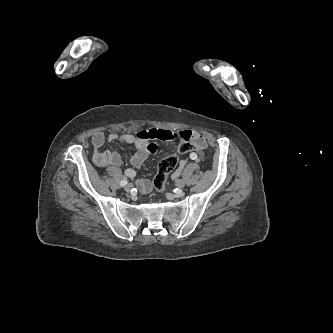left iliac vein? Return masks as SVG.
<instances>
[{"instance_id": "4c4485c4", "label": "left iliac vein", "mask_w": 333, "mask_h": 333, "mask_svg": "<svg viewBox=\"0 0 333 333\" xmlns=\"http://www.w3.org/2000/svg\"><path fill=\"white\" fill-rule=\"evenodd\" d=\"M175 185L178 187V188H183L185 186V181L183 179H178L176 182H175Z\"/></svg>"}]
</instances>
